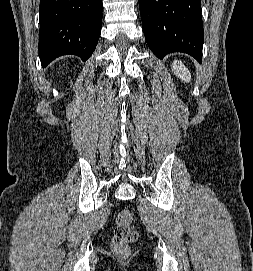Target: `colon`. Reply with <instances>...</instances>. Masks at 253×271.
<instances>
[{"label": "colon", "mask_w": 253, "mask_h": 271, "mask_svg": "<svg viewBox=\"0 0 253 271\" xmlns=\"http://www.w3.org/2000/svg\"><path fill=\"white\" fill-rule=\"evenodd\" d=\"M134 215L129 209L121 210L116 218L112 244L114 250L120 255L129 252V245L136 242L139 233L133 226Z\"/></svg>", "instance_id": "1"}]
</instances>
